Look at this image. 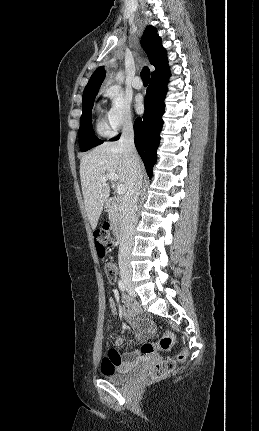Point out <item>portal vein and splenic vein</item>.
<instances>
[{"label":"portal vein and splenic vein","mask_w":259,"mask_h":431,"mask_svg":"<svg viewBox=\"0 0 259 431\" xmlns=\"http://www.w3.org/2000/svg\"><path fill=\"white\" fill-rule=\"evenodd\" d=\"M107 179H111V180L115 181V180L118 179V175L116 173H114V172H110V173H107V174L103 175L100 178V181L101 182H106ZM116 192L119 195L125 194V192H126L125 186L122 185V184L118 185L117 188H116Z\"/></svg>","instance_id":"obj_1"}]
</instances>
